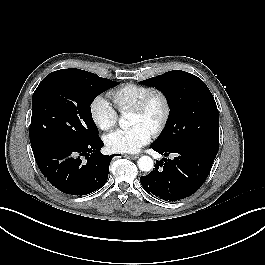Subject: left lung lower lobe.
Returning a JSON list of instances; mask_svg holds the SVG:
<instances>
[{
    "label": "left lung lower lobe",
    "instance_id": "0a47b994",
    "mask_svg": "<svg viewBox=\"0 0 265 265\" xmlns=\"http://www.w3.org/2000/svg\"><path fill=\"white\" fill-rule=\"evenodd\" d=\"M156 152L172 160L156 161L155 169L140 177V182L149 194L166 201H177L192 195L206 180L218 152L196 144L173 147L152 145Z\"/></svg>",
    "mask_w": 265,
    "mask_h": 265
}]
</instances>
